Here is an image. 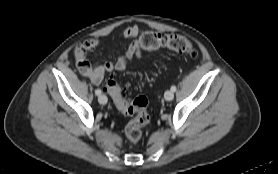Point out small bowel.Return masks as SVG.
Returning a JSON list of instances; mask_svg holds the SVG:
<instances>
[{
  "label": "small bowel",
  "instance_id": "1",
  "mask_svg": "<svg viewBox=\"0 0 278 174\" xmlns=\"http://www.w3.org/2000/svg\"><path fill=\"white\" fill-rule=\"evenodd\" d=\"M140 34V28L136 25L128 26L122 31V37L125 40H130L125 54L119 57L116 61H108L105 64H98L91 66L86 59L88 52H91L99 45V40L91 38L86 40L83 44L76 47L74 50V57L77 68L81 75L87 77L94 85H100L103 81L106 72L112 73L115 71H124L128 61L134 56L144 58V52L140 42L136 39Z\"/></svg>",
  "mask_w": 278,
  "mask_h": 174
}]
</instances>
